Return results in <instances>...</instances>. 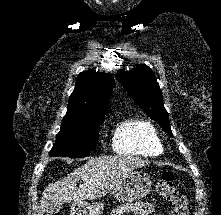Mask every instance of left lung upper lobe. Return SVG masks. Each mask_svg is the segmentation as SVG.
Masks as SVG:
<instances>
[{
  "label": "left lung upper lobe",
  "mask_w": 221,
  "mask_h": 215,
  "mask_svg": "<svg viewBox=\"0 0 221 215\" xmlns=\"http://www.w3.org/2000/svg\"><path fill=\"white\" fill-rule=\"evenodd\" d=\"M117 77L133 100L159 123L165 132L173 136L162 92L152 70L146 65H139L128 72H118Z\"/></svg>",
  "instance_id": "5c2ea615"
}]
</instances>
